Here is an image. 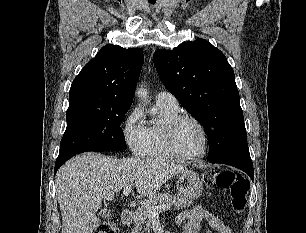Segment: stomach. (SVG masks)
I'll list each match as a JSON object with an SVG mask.
<instances>
[{"label":"stomach","instance_id":"stomach-1","mask_svg":"<svg viewBox=\"0 0 306 233\" xmlns=\"http://www.w3.org/2000/svg\"><path fill=\"white\" fill-rule=\"evenodd\" d=\"M179 194L186 199H196L202 195L203 185L196 172L179 173L176 181Z\"/></svg>","mask_w":306,"mask_h":233}]
</instances>
